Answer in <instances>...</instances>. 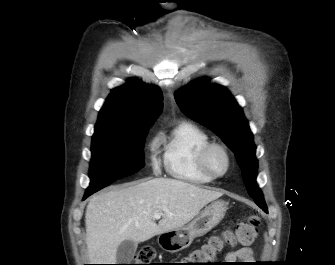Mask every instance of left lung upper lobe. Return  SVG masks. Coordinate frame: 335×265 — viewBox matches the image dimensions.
<instances>
[{
  "label": "left lung upper lobe",
  "mask_w": 335,
  "mask_h": 265,
  "mask_svg": "<svg viewBox=\"0 0 335 265\" xmlns=\"http://www.w3.org/2000/svg\"><path fill=\"white\" fill-rule=\"evenodd\" d=\"M199 79L175 94L180 108L194 120L213 130L235 153L248 194L268 212L263 194L256 184L258 162L253 134L234 97L224 87Z\"/></svg>",
  "instance_id": "left-lung-upper-lobe-1"
}]
</instances>
